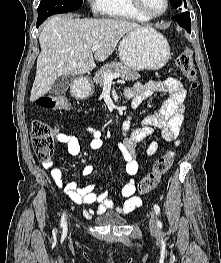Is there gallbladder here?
<instances>
[{
	"instance_id": "obj_1",
	"label": "gallbladder",
	"mask_w": 221,
	"mask_h": 263,
	"mask_svg": "<svg viewBox=\"0 0 221 263\" xmlns=\"http://www.w3.org/2000/svg\"><path fill=\"white\" fill-rule=\"evenodd\" d=\"M74 76L64 75L59 77L50 89V93L53 95H61L65 93L68 88L72 85Z\"/></svg>"
}]
</instances>
